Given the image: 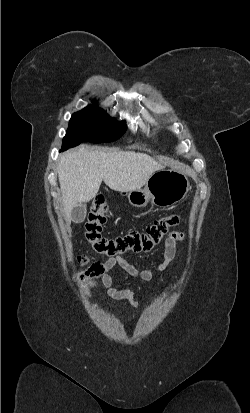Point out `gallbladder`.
I'll list each match as a JSON object with an SVG mask.
<instances>
[{
  "label": "gallbladder",
  "instance_id": "obj_1",
  "mask_svg": "<svg viewBox=\"0 0 250 413\" xmlns=\"http://www.w3.org/2000/svg\"><path fill=\"white\" fill-rule=\"evenodd\" d=\"M86 206L84 204H80L74 207L71 211V220L74 223H81L84 221L86 217Z\"/></svg>",
  "mask_w": 250,
  "mask_h": 413
}]
</instances>
